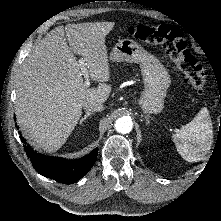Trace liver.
<instances>
[{"label":"liver","mask_w":221,"mask_h":221,"mask_svg":"<svg viewBox=\"0 0 221 221\" xmlns=\"http://www.w3.org/2000/svg\"><path fill=\"white\" fill-rule=\"evenodd\" d=\"M114 22L67 24L51 30L34 46L19 70L15 113L23 134L37 147L58 150L77 125L84 104L105 102L111 86L105 38ZM82 56L97 88L84 85Z\"/></svg>","instance_id":"1"}]
</instances>
